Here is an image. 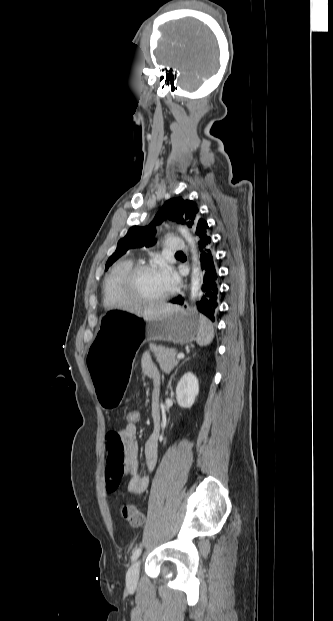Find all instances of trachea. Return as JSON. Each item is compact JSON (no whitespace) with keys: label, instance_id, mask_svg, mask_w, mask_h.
Here are the masks:
<instances>
[{"label":"trachea","instance_id":"obj_1","mask_svg":"<svg viewBox=\"0 0 333 621\" xmlns=\"http://www.w3.org/2000/svg\"><path fill=\"white\" fill-rule=\"evenodd\" d=\"M176 254H183L181 251L177 252Z\"/></svg>","mask_w":333,"mask_h":621}]
</instances>
